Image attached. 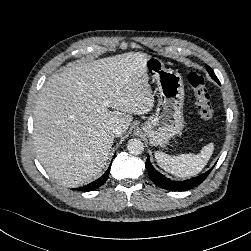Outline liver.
Returning a JSON list of instances; mask_svg holds the SVG:
<instances>
[{
	"mask_svg": "<svg viewBox=\"0 0 251 251\" xmlns=\"http://www.w3.org/2000/svg\"><path fill=\"white\" fill-rule=\"evenodd\" d=\"M149 57L128 52L70 63L44 84L34 108V146L57 182L74 188L101 176L114 141L111 127L125 133L132 114L152 110L144 69Z\"/></svg>",
	"mask_w": 251,
	"mask_h": 251,
	"instance_id": "6515ba94",
	"label": "liver"
}]
</instances>
